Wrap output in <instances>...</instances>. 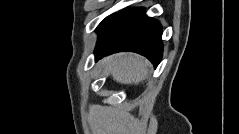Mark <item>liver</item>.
<instances>
[{"mask_svg":"<svg viewBox=\"0 0 239 134\" xmlns=\"http://www.w3.org/2000/svg\"><path fill=\"white\" fill-rule=\"evenodd\" d=\"M116 82L138 83L148 75V61L138 54H115L103 61Z\"/></svg>","mask_w":239,"mask_h":134,"instance_id":"6515ba94","label":"liver"}]
</instances>
